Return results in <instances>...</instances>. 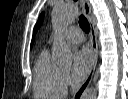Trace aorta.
I'll list each match as a JSON object with an SVG mask.
<instances>
[{
    "label": "aorta",
    "instance_id": "762f6f07",
    "mask_svg": "<svg viewBox=\"0 0 128 99\" xmlns=\"http://www.w3.org/2000/svg\"><path fill=\"white\" fill-rule=\"evenodd\" d=\"M75 17L76 10L72 5H59L53 9L52 23L57 28H63L72 22ZM52 59L57 65L68 66L72 63L73 52L64 42L57 39L53 44ZM82 97L83 99H96L97 88H88Z\"/></svg>",
    "mask_w": 128,
    "mask_h": 99
}]
</instances>
